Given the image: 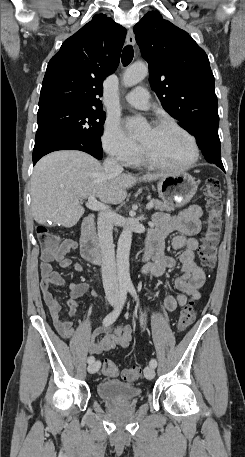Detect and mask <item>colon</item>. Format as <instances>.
<instances>
[{"mask_svg": "<svg viewBox=\"0 0 245 457\" xmlns=\"http://www.w3.org/2000/svg\"><path fill=\"white\" fill-rule=\"evenodd\" d=\"M203 194L206 197L207 220L206 228L199 248V255L204 266L211 270L216 262V250L219 242V235L222 224V200L221 184L215 177L206 180ZM37 237L40 243L42 254L54 255L60 248V237L49 227L40 226L37 228ZM195 319L193 303L186 305L178 318L177 326L179 330L187 329ZM103 374L115 377L119 370L116 364L105 359L102 365ZM122 377L127 382H136L141 377V369L133 366L123 370Z\"/></svg>", "mask_w": 245, "mask_h": 457, "instance_id": "1", "label": "colon"}]
</instances>
